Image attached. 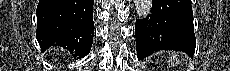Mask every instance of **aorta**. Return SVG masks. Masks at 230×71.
Masks as SVG:
<instances>
[{
    "label": "aorta",
    "mask_w": 230,
    "mask_h": 71,
    "mask_svg": "<svg viewBox=\"0 0 230 71\" xmlns=\"http://www.w3.org/2000/svg\"><path fill=\"white\" fill-rule=\"evenodd\" d=\"M137 14L140 18H147L151 14L152 0H135Z\"/></svg>",
    "instance_id": "1"
}]
</instances>
